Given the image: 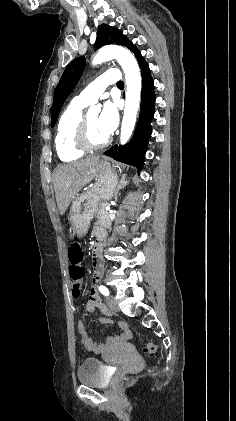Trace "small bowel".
I'll list each match as a JSON object with an SVG mask.
<instances>
[{"label":"small bowel","instance_id":"small-bowel-1","mask_svg":"<svg viewBox=\"0 0 236 421\" xmlns=\"http://www.w3.org/2000/svg\"><path fill=\"white\" fill-rule=\"evenodd\" d=\"M98 228H100V227H96L95 231ZM99 305H101V303H100V299H99V296L97 294V291H96L95 288H92L91 291H90V297H89L87 307H88L89 310H93L95 307H97ZM120 325H121L124 332L127 333L129 331L128 327L125 324L121 323Z\"/></svg>","mask_w":236,"mask_h":421}]
</instances>
